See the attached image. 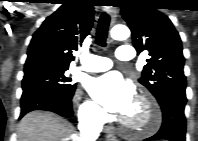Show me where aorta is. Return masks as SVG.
Here are the masks:
<instances>
[{
  "label": "aorta",
  "mask_w": 198,
  "mask_h": 141,
  "mask_svg": "<svg viewBox=\"0 0 198 141\" xmlns=\"http://www.w3.org/2000/svg\"><path fill=\"white\" fill-rule=\"evenodd\" d=\"M110 34L115 40H126L130 37V30L125 25H116L112 28Z\"/></svg>",
  "instance_id": "aorta-1"
}]
</instances>
